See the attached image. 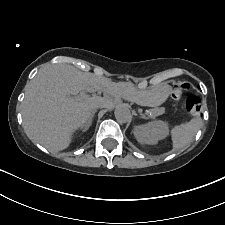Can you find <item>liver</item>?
Listing matches in <instances>:
<instances>
[{"label":"liver","instance_id":"1","mask_svg":"<svg viewBox=\"0 0 225 225\" xmlns=\"http://www.w3.org/2000/svg\"><path fill=\"white\" fill-rule=\"evenodd\" d=\"M83 91H101L105 96H76ZM145 95L68 64L47 65L25 87L23 128L30 140L57 153L69 147L73 133L87 123L94 105L110 108L112 96L145 105Z\"/></svg>","mask_w":225,"mask_h":225}]
</instances>
